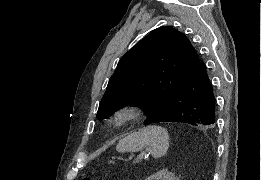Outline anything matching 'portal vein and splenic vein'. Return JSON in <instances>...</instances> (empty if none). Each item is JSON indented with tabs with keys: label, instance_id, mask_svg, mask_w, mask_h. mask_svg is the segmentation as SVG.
I'll use <instances>...</instances> for the list:
<instances>
[{
	"label": "portal vein and splenic vein",
	"instance_id": "obj_1",
	"mask_svg": "<svg viewBox=\"0 0 261 180\" xmlns=\"http://www.w3.org/2000/svg\"><path fill=\"white\" fill-rule=\"evenodd\" d=\"M143 157H144V154L137 155V156H136V159H137V160H142V159H143Z\"/></svg>",
	"mask_w": 261,
	"mask_h": 180
}]
</instances>
